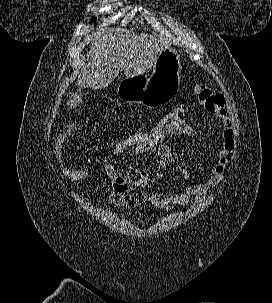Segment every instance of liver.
I'll use <instances>...</instances> for the list:
<instances>
[{"label":"liver","mask_w":272,"mask_h":303,"mask_svg":"<svg viewBox=\"0 0 272 303\" xmlns=\"http://www.w3.org/2000/svg\"><path fill=\"white\" fill-rule=\"evenodd\" d=\"M169 47L167 39L122 29L103 28L91 37V46L78 74L79 93L71 96L69 109L82 102L81 90L107 87L122 70L126 78L147 72L160 53Z\"/></svg>","instance_id":"liver-1"}]
</instances>
